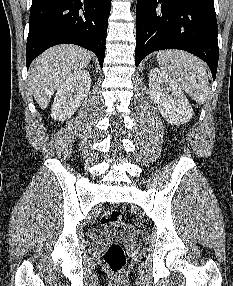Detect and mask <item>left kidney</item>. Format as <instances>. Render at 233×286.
<instances>
[{"label": "left kidney", "instance_id": "obj_1", "mask_svg": "<svg viewBox=\"0 0 233 286\" xmlns=\"http://www.w3.org/2000/svg\"><path fill=\"white\" fill-rule=\"evenodd\" d=\"M149 89L154 103L168 123L186 124L192 118L193 109L181 88L158 68L150 71Z\"/></svg>", "mask_w": 233, "mask_h": 286}]
</instances>
